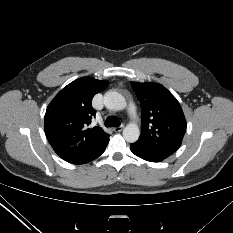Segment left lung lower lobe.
Returning <instances> with one entry per match:
<instances>
[{
	"mask_svg": "<svg viewBox=\"0 0 233 233\" xmlns=\"http://www.w3.org/2000/svg\"><path fill=\"white\" fill-rule=\"evenodd\" d=\"M130 149L136 156L150 162H160L170 156L167 153L146 146L139 140L130 144Z\"/></svg>",
	"mask_w": 233,
	"mask_h": 233,
	"instance_id": "left-lung-lower-lobe-1",
	"label": "left lung lower lobe"
}]
</instances>
